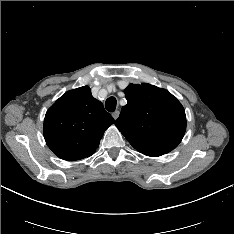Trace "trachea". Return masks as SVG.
Instances as JSON below:
<instances>
[{
	"mask_svg": "<svg viewBox=\"0 0 234 234\" xmlns=\"http://www.w3.org/2000/svg\"><path fill=\"white\" fill-rule=\"evenodd\" d=\"M117 106V101L114 97H109L105 102V108L109 112H114Z\"/></svg>",
	"mask_w": 234,
	"mask_h": 234,
	"instance_id": "obj_1",
	"label": "trachea"
}]
</instances>
